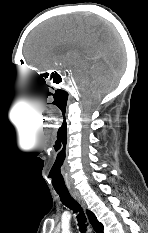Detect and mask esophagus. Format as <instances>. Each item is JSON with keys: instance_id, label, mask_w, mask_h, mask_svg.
Returning a JSON list of instances; mask_svg holds the SVG:
<instances>
[{"instance_id": "34e87169", "label": "esophagus", "mask_w": 148, "mask_h": 233, "mask_svg": "<svg viewBox=\"0 0 148 233\" xmlns=\"http://www.w3.org/2000/svg\"><path fill=\"white\" fill-rule=\"evenodd\" d=\"M70 194L73 196L75 200H77L82 205V207H84L83 200L77 191L71 190Z\"/></svg>"}]
</instances>
